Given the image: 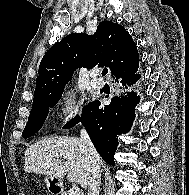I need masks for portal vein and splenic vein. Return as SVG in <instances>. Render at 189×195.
I'll use <instances>...</instances> for the list:
<instances>
[{
  "label": "portal vein and splenic vein",
  "mask_w": 189,
  "mask_h": 195,
  "mask_svg": "<svg viewBox=\"0 0 189 195\" xmlns=\"http://www.w3.org/2000/svg\"><path fill=\"white\" fill-rule=\"evenodd\" d=\"M69 195H80V189L76 186L69 190Z\"/></svg>",
  "instance_id": "18ae733b"
}]
</instances>
